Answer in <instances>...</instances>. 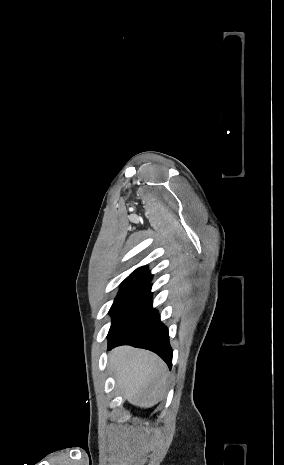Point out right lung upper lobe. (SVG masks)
Masks as SVG:
<instances>
[{"label": "right lung upper lobe", "instance_id": "1", "mask_svg": "<svg viewBox=\"0 0 284 465\" xmlns=\"http://www.w3.org/2000/svg\"><path fill=\"white\" fill-rule=\"evenodd\" d=\"M127 279L150 281L152 279V275L147 270V266H143V267L136 269L133 273H131Z\"/></svg>", "mask_w": 284, "mask_h": 465}]
</instances>
